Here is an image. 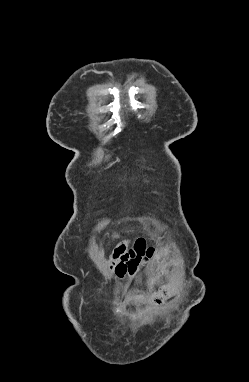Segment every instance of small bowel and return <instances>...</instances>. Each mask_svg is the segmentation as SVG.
Here are the masks:
<instances>
[{
  "label": "small bowel",
  "instance_id": "obj_1",
  "mask_svg": "<svg viewBox=\"0 0 249 382\" xmlns=\"http://www.w3.org/2000/svg\"><path fill=\"white\" fill-rule=\"evenodd\" d=\"M148 245V242L145 241L144 238H137L130 243L127 241L120 242L114 248L108 260L109 268L119 278L132 274L137 266L140 265V262H142L144 248H147ZM130 250L131 252H129Z\"/></svg>",
  "mask_w": 249,
  "mask_h": 382
}]
</instances>
